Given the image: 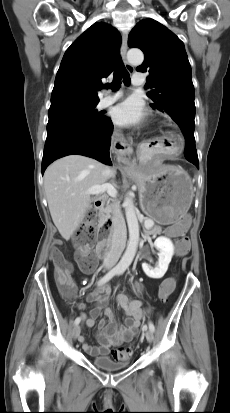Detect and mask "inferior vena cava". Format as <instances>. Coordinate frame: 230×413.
I'll return each mask as SVG.
<instances>
[{
  "instance_id": "1",
  "label": "inferior vena cava",
  "mask_w": 230,
  "mask_h": 413,
  "mask_svg": "<svg viewBox=\"0 0 230 413\" xmlns=\"http://www.w3.org/2000/svg\"><path fill=\"white\" fill-rule=\"evenodd\" d=\"M103 175L111 178L115 175V171L109 167H106L103 171ZM112 226V244L104 259V266L107 269L113 267L117 263L126 243V225L117 205L113 207Z\"/></svg>"
}]
</instances>
